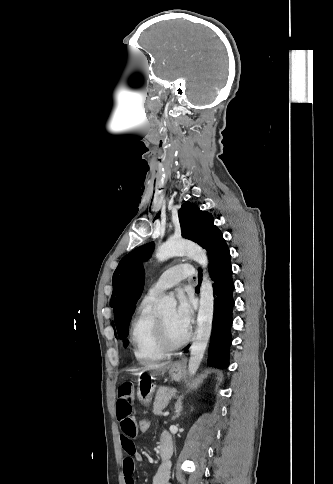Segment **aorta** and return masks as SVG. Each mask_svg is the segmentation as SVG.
Masks as SVG:
<instances>
[{"mask_svg": "<svg viewBox=\"0 0 333 484\" xmlns=\"http://www.w3.org/2000/svg\"><path fill=\"white\" fill-rule=\"evenodd\" d=\"M186 254L203 269V280L200 288L199 311L197 316L196 338L190 348V358L188 371L190 375H195L203 359L207 344L212 330L214 295L212 282L208 274V258L206 251L198 244L185 240L170 239L159 245L156 251V258L163 262L171 257ZM176 299L172 296H165L159 302L161 312L175 310Z\"/></svg>", "mask_w": 333, "mask_h": 484, "instance_id": "1", "label": "aorta"}]
</instances>
